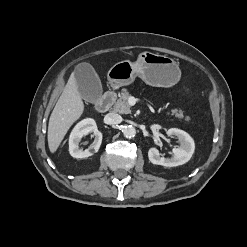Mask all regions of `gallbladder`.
<instances>
[{"label": "gallbladder", "instance_id": "1", "mask_svg": "<svg viewBox=\"0 0 247 247\" xmlns=\"http://www.w3.org/2000/svg\"><path fill=\"white\" fill-rule=\"evenodd\" d=\"M73 73L81 97L90 103L98 102L102 95V84L94 68L89 63H80Z\"/></svg>", "mask_w": 247, "mask_h": 247}]
</instances>
